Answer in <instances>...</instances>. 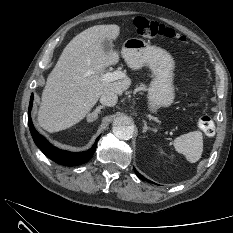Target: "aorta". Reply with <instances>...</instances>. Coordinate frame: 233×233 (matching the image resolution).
<instances>
[{"mask_svg": "<svg viewBox=\"0 0 233 233\" xmlns=\"http://www.w3.org/2000/svg\"><path fill=\"white\" fill-rule=\"evenodd\" d=\"M113 133L121 140H129L134 133L131 119L125 115L116 117L113 122Z\"/></svg>", "mask_w": 233, "mask_h": 233, "instance_id": "762f6f07", "label": "aorta"}]
</instances>
